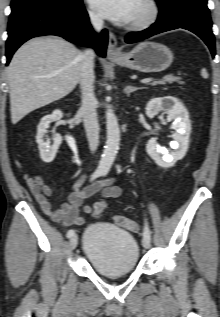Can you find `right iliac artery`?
I'll return each instance as SVG.
<instances>
[{"instance_id":"obj_1","label":"right iliac artery","mask_w":220,"mask_h":317,"mask_svg":"<svg viewBox=\"0 0 220 317\" xmlns=\"http://www.w3.org/2000/svg\"><path fill=\"white\" fill-rule=\"evenodd\" d=\"M103 174V172L101 171H95L91 177V180H94L95 178L101 176ZM75 234V231L73 229H70L68 232H67V237L70 238L72 236H74Z\"/></svg>"}]
</instances>
